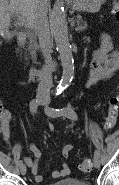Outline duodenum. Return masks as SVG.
I'll list each match as a JSON object with an SVG mask.
<instances>
[{"mask_svg": "<svg viewBox=\"0 0 119 185\" xmlns=\"http://www.w3.org/2000/svg\"><path fill=\"white\" fill-rule=\"evenodd\" d=\"M27 38L23 33L18 34L17 36V45L19 48H23L26 45ZM57 68V62L53 61L44 68H30L28 70L29 79L36 81L41 79L45 74L54 72Z\"/></svg>", "mask_w": 119, "mask_h": 185, "instance_id": "duodenum-1", "label": "duodenum"}]
</instances>
